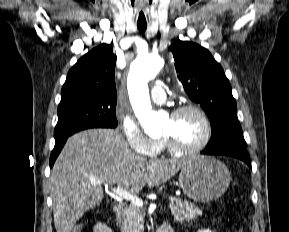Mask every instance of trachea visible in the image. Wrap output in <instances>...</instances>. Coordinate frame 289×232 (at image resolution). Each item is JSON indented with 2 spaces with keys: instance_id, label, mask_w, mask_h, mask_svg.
I'll list each match as a JSON object with an SVG mask.
<instances>
[{
  "instance_id": "obj_1",
  "label": "trachea",
  "mask_w": 289,
  "mask_h": 232,
  "mask_svg": "<svg viewBox=\"0 0 289 232\" xmlns=\"http://www.w3.org/2000/svg\"><path fill=\"white\" fill-rule=\"evenodd\" d=\"M137 28L140 33H144L146 31L147 25L146 24H137Z\"/></svg>"
}]
</instances>
